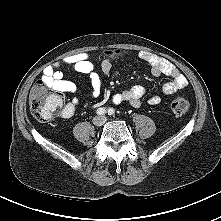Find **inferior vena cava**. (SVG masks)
Returning <instances> with one entry per match:
<instances>
[{
  "mask_svg": "<svg viewBox=\"0 0 221 221\" xmlns=\"http://www.w3.org/2000/svg\"><path fill=\"white\" fill-rule=\"evenodd\" d=\"M97 119L100 120V121L98 122L99 124L105 123L106 120H107L105 116H99V117H97Z\"/></svg>",
  "mask_w": 221,
  "mask_h": 221,
  "instance_id": "602c4592",
  "label": "inferior vena cava"
}]
</instances>
